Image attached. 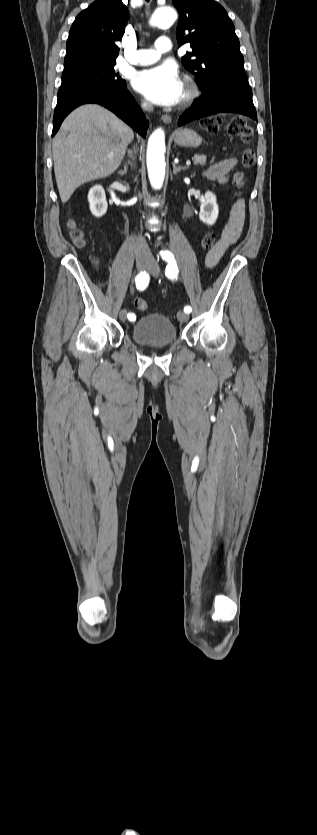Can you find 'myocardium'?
Instances as JSON below:
<instances>
[{
  "label": "myocardium",
  "instance_id": "obj_1",
  "mask_svg": "<svg viewBox=\"0 0 317 835\" xmlns=\"http://www.w3.org/2000/svg\"><path fill=\"white\" fill-rule=\"evenodd\" d=\"M200 95V90L196 82L192 79H187L184 83V91L181 98V107L186 108L190 106Z\"/></svg>",
  "mask_w": 317,
  "mask_h": 835
}]
</instances>
